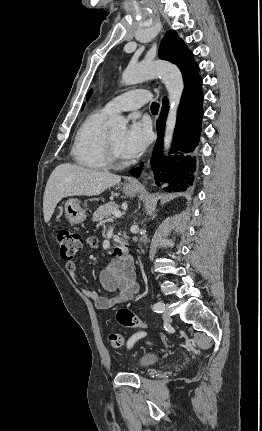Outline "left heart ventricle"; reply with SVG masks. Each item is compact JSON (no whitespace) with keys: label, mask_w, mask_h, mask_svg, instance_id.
<instances>
[{"label":"left heart ventricle","mask_w":262,"mask_h":431,"mask_svg":"<svg viewBox=\"0 0 262 431\" xmlns=\"http://www.w3.org/2000/svg\"><path fill=\"white\" fill-rule=\"evenodd\" d=\"M124 136V132H117V133H110V138L111 141L113 143V145L115 146V149L119 155L120 158L124 159V157L121 155L120 151H119V143L121 141V139Z\"/></svg>","instance_id":"left-heart-ventricle-1"}]
</instances>
